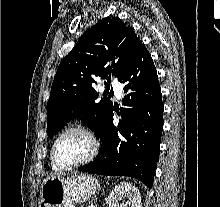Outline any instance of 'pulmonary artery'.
<instances>
[{
  "label": "pulmonary artery",
  "mask_w": 220,
  "mask_h": 207,
  "mask_svg": "<svg viewBox=\"0 0 220 207\" xmlns=\"http://www.w3.org/2000/svg\"><path fill=\"white\" fill-rule=\"evenodd\" d=\"M111 86L115 92L116 97L119 99L122 95V85L117 80L111 82Z\"/></svg>",
  "instance_id": "e3ab8cb5"
}]
</instances>
